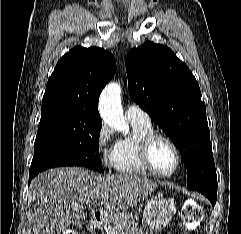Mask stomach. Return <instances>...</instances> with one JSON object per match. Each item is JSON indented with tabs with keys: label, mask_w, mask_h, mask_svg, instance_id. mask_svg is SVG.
Wrapping results in <instances>:
<instances>
[{
	"label": "stomach",
	"mask_w": 241,
	"mask_h": 234,
	"mask_svg": "<svg viewBox=\"0 0 241 234\" xmlns=\"http://www.w3.org/2000/svg\"><path fill=\"white\" fill-rule=\"evenodd\" d=\"M173 204L165 197L158 195L147 201L143 211L146 234L164 228L170 222L174 213ZM113 221L120 226L126 234H138L137 227L126 213H120Z\"/></svg>",
	"instance_id": "0dacf381"
}]
</instances>
